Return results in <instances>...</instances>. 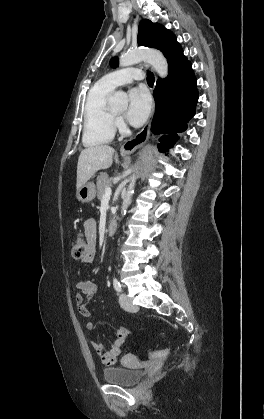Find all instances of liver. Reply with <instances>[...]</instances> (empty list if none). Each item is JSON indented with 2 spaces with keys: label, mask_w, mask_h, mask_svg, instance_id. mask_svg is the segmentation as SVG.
I'll return each mask as SVG.
<instances>
[{
  "label": "liver",
  "mask_w": 264,
  "mask_h": 419,
  "mask_svg": "<svg viewBox=\"0 0 264 419\" xmlns=\"http://www.w3.org/2000/svg\"><path fill=\"white\" fill-rule=\"evenodd\" d=\"M115 150L109 145L88 147L81 151L77 164V190L97 171L112 165Z\"/></svg>",
  "instance_id": "1"
}]
</instances>
